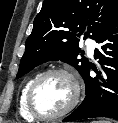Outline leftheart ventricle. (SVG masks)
<instances>
[{
  "instance_id": "1",
  "label": "left heart ventricle",
  "mask_w": 118,
  "mask_h": 123,
  "mask_svg": "<svg viewBox=\"0 0 118 123\" xmlns=\"http://www.w3.org/2000/svg\"><path fill=\"white\" fill-rule=\"evenodd\" d=\"M73 85L71 81L61 74L45 79L37 88L34 96L36 109L45 115L61 112L71 101Z\"/></svg>"
}]
</instances>
